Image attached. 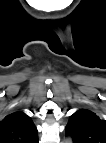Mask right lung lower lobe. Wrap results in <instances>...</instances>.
<instances>
[{
	"mask_svg": "<svg viewBox=\"0 0 106 143\" xmlns=\"http://www.w3.org/2000/svg\"><path fill=\"white\" fill-rule=\"evenodd\" d=\"M34 143H38V140H37V141H35Z\"/></svg>",
	"mask_w": 106,
	"mask_h": 143,
	"instance_id": "obj_1",
	"label": "right lung lower lobe"
}]
</instances>
